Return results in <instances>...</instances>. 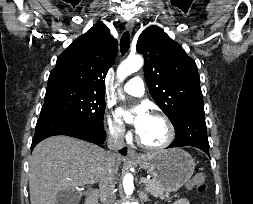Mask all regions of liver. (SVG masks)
<instances>
[{
  "label": "liver",
  "mask_w": 253,
  "mask_h": 204,
  "mask_svg": "<svg viewBox=\"0 0 253 204\" xmlns=\"http://www.w3.org/2000/svg\"><path fill=\"white\" fill-rule=\"evenodd\" d=\"M107 152L72 137L58 135L40 142L30 158L29 190L31 204H56L61 191L84 194L80 186L100 182L106 172ZM122 156L114 157V166L121 164Z\"/></svg>",
  "instance_id": "obj_1"
}]
</instances>
